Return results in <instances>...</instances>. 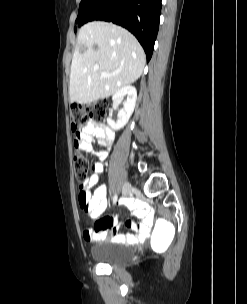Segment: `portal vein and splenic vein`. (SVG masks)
I'll use <instances>...</instances> for the list:
<instances>
[{
	"label": "portal vein and splenic vein",
	"instance_id": "obj_1",
	"mask_svg": "<svg viewBox=\"0 0 247 304\" xmlns=\"http://www.w3.org/2000/svg\"><path fill=\"white\" fill-rule=\"evenodd\" d=\"M99 67L98 66H95V69H98ZM109 74L105 73V72H102L101 73V77H108Z\"/></svg>",
	"mask_w": 247,
	"mask_h": 304
}]
</instances>
